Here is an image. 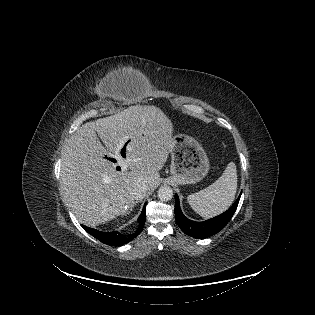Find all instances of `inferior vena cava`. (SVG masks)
Wrapping results in <instances>:
<instances>
[{
	"instance_id": "602c4592",
	"label": "inferior vena cava",
	"mask_w": 315,
	"mask_h": 315,
	"mask_svg": "<svg viewBox=\"0 0 315 315\" xmlns=\"http://www.w3.org/2000/svg\"><path fill=\"white\" fill-rule=\"evenodd\" d=\"M148 190H149V185L146 182H142L138 184L134 193L135 198L138 200L142 199Z\"/></svg>"
}]
</instances>
